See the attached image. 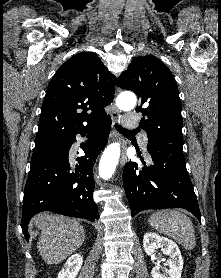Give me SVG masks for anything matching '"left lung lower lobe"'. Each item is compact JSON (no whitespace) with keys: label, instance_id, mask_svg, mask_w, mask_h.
<instances>
[{"label":"left lung lower lobe","instance_id":"obj_1","mask_svg":"<svg viewBox=\"0 0 221 278\" xmlns=\"http://www.w3.org/2000/svg\"><path fill=\"white\" fill-rule=\"evenodd\" d=\"M182 146L153 143L147 147L153 161L150 166L139 170L134 162L125 164L123 184L132 216L147 209L185 208L201 222Z\"/></svg>","mask_w":221,"mask_h":278}]
</instances>
